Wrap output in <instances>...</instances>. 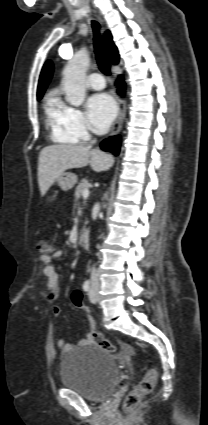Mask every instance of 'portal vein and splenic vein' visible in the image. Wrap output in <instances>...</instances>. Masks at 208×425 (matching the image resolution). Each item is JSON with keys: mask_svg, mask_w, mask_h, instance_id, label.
<instances>
[{"mask_svg": "<svg viewBox=\"0 0 208 425\" xmlns=\"http://www.w3.org/2000/svg\"><path fill=\"white\" fill-rule=\"evenodd\" d=\"M88 196H89V191L88 190H84L83 197L84 198H88Z\"/></svg>", "mask_w": 208, "mask_h": 425, "instance_id": "obj_1", "label": "portal vein and splenic vein"}]
</instances>
